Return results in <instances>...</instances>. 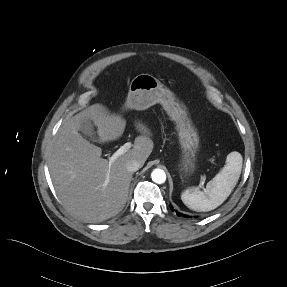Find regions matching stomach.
<instances>
[{
    "instance_id": "0dacf381",
    "label": "stomach",
    "mask_w": 287,
    "mask_h": 287,
    "mask_svg": "<svg viewBox=\"0 0 287 287\" xmlns=\"http://www.w3.org/2000/svg\"><path fill=\"white\" fill-rule=\"evenodd\" d=\"M156 103L163 106L176 125L182 150L181 171H184L186 175H190L196 167L199 135L187 107L153 75L139 74L134 77L129 85L125 103L126 108L145 110Z\"/></svg>"
}]
</instances>
